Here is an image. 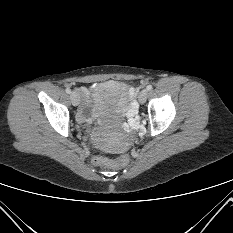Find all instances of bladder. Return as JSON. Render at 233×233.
Wrapping results in <instances>:
<instances>
[{
	"mask_svg": "<svg viewBox=\"0 0 233 233\" xmlns=\"http://www.w3.org/2000/svg\"><path fill=\"white\" fill-rule=\"evenodd\" d=\"M92 98L97 113L107 117H119L128 107V86L115 80L103 82L94 88ZM102 145L111 150L121 149L109 142H102Z\"/></svg>",
	"mask_w": 233,
	"mask_h": 233,
	"instance_id": "obj_1",
	"label": "bladder"
}]
</instances>
